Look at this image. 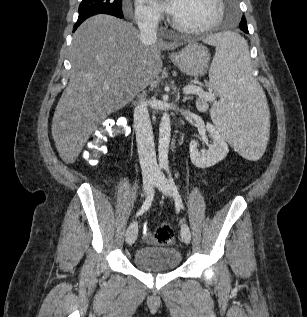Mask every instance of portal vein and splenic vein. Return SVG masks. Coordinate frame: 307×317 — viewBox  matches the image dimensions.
I'll use <instances>...</instances> for the list:
<instances>
[{"instance_id": "obj_1", "label": "portal vein and splenic vein", "mask_w": 307, "mask_h": 317, "mask_svg": "<svg viewBox=\"0 0 307 317\" xmlns=\"http://www.w3.org/2000/svg\"><path fill=\"white\" fill-rule=\"evenodd\" d=\"M104 88L109 89V85L105 84ZM184 92L188 94H195L206 101L216 100L215 94L212 91L205 92L201 87L197 85H187L186 87H184Z\"/></svg>"}]
</instances>
